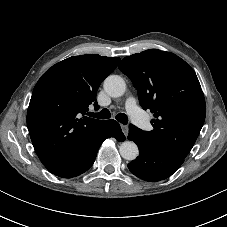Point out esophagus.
I'll return each instance as SVG.
<instances>
[{
	"label": "esophagus",
	"instance_id": "esophagus-1",
	"mask_svg": "<svg viewBox=\"0 0 227 227\" xmlns=\"http://www.w3.org/2000/svg\"><path fill=\"white\" fill-rule=\"evenodd\" d=\"M121 128H122L124 135L127 137L128 136V130H129L128 126L122 124Z\"/></svg>",
	"mask_w": 227,
	"mask_h": 227
}]
</instances>
